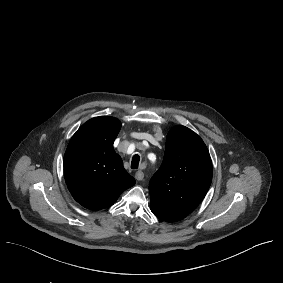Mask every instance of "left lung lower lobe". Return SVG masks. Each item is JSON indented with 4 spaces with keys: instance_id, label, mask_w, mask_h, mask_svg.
Masks as SVG:
<instances>
[{
    "instance_id": "1",
    "label": "left lung lower lobe",
    "mask_w": 283,
    "mask_h": 283,
    "mask_svg": "<svg viewBox=\"0 0 283 283\" xmlns=\"http://www.w3.org/2000/svg\"><path fill=\"white\" fill-rule=\"evenodd\" d=\"M151 211L159 219L166 222H175L185 218L189 213L179 210L167 209L151 205Z\"/></svg>"
}]
</instances>
